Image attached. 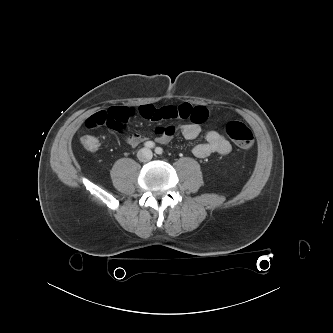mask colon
I'll use <instances>...</instances> for the list:
<instances>
[{"instance_id": "1", "label": "colon", "mask_w": 333, "mask_h": 333, "mask_svg": "<svg viewBox=\"0 0 333 333\" xmlns=\"http://www.w3.org/2000/svg\"><path fill=\"white\" fill-rule=\"evenodd\" d=\"M134 114L133 111L126 112L127 120ZM108 121L107 116L101 118V123L105 124ZM225 131L228 137L240 148L248 149L254 143L252 131L242 122L230 121L225 126ZM82 146L88 151H96L99 148V140L97 137L87 134L81 137Z\"/></svg>"}]
</instances>
